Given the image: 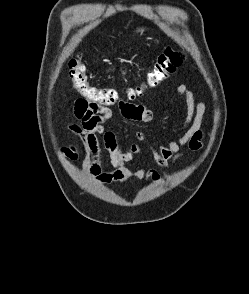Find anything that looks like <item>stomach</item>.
I'll use <instances>...</instances> for the list:
<instances>
[{
	"label": "stomach",
	"instance_id": "1",
	"mask_svg": "<svg viewBox=\"0 0 249 294\" xmlns=\"http://www.w3.org/2000/svg\"><path fill=\"white\" fill-rule=\"evenodd\" d=\"M144 32V28H137L136 29V33H143Z\"/></svg>",
	"mask_w": 249,
	"mask_h": 294
}]
</instances>
